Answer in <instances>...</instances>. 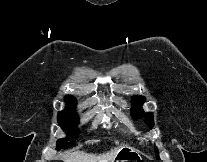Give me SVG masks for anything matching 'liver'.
<instances>
[{"mask_svg": "<svg viewBox=\"0 0 207 162\" xmlns=\"http://www.w3.org/2000/svg\"><path fill=\"white\" fill-rule=\"evenodd\" d=\"M119 147L103 154H91L84 151H75L64 156V162H109L114 158Z\"/></svg>", "mask_w": 207, "mask_h": 162, "instance_id": "6515ba94", "label": "liver"}]
</instances>
